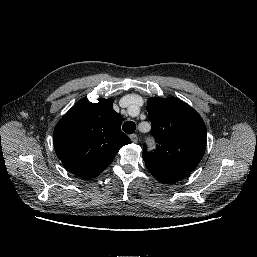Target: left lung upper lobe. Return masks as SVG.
<instances>
[{
  "label": "left lung upper lobe",
  "mask_w": 257,
  "mask_h": 257,
  "mask_svg": "<svg viewBox=\"0 0 257 257\" xmlns=\"http://www.w3.org/2000/svg\"><path fill=\"white\" fill-rule=\"evenodd\" d=\"M155 152L143 147L147 169L185 178L201 161L206 148V127L201 116L188 104L170 97L147 101Z\"/></svg>",
  "instance_id": "left-lung-upper-lobe-1"
}]
</instances>
